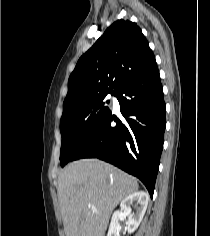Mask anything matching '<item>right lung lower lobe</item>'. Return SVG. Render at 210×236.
I'll return each instance as SVG.
<instances>
[{"instance_id": "obj_1", "label": "right lung lower lobe", "mask_w": 210, "mask_h": 236, "mask_svg": "<svg viewBox=\"0 0 210 236\" xmlns=\"http://www.w3.org/2000/svg\"><path fill=\"white\" fill-rule=\"evenodd\" d=\"M124 117L110 111L71 161L98 158L139 178L153 196L163 149L166 106L157 65L129 79L114 93ZM117 121L112 127L111 122Z\"/></svg>"}]
</instances>
